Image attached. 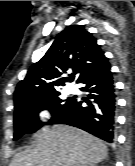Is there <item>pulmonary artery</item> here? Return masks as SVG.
Instances as JSON below:
<instances>
[{
    "instance_id": "e3ab8cb5",
    "label": "pulmonary artery",
    "mask_w": 135,
    "mask_h": 166,
    "mask_svg": "<svg viewBox=\"0 0 135 166\" xmlns=\"http://www.w3.org/2000/svg\"><path fill=\"white\" fill-rule=\"evenodd\" d=\"M74 92H76V89L72 88V89L70 90V93H74Z\"/></svg>"
}]
</instances>
